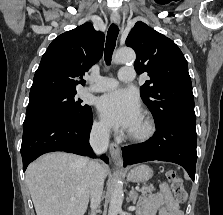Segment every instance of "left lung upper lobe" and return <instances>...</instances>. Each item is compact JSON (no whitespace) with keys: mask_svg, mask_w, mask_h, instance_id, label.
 Wrapping results in <instances>:
<instances>
[{"mask_svg":"<svg viewBox=\"0 0 223 215\" xmlns=\"http://www.w3.org/2000/svg\"><path fill=\"white\" fill-rule=\"evenodd\" d=\"M126 45L136 52V72H147L150 77L141 86L140 94L155 124L196 123L188 64L179 47L141 21L132 28Z\"/></svg>","mask_w":223,"mask_h":215,"instance_id":"1","label":"left lung upper lobe"}]
</instances>
